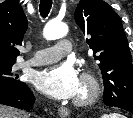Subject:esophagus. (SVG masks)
Here are the masks:
<instances>
[{"label":"esophagus","mask_w":133,"mask_h":118,"mask_svg":"<svg viewBox=\"0 0 133 118\" xmlns=\"http://www.w3.org/2000/svg\"><path fill=\"white\" fill-rule=\"evenodd\" d=\"M58 113H59L60 117L64 118V117H67L70 115V110L66 107H60L58 109Z\"/></svg>","instance_id":"esophagus-1"}]
</instances>
